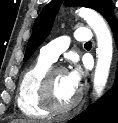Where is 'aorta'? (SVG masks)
Masks as SVG:
<instances>
[{
  "label": "aorta",
  "instance_id": "obj_1",
  "mask_svg": "<svg viewBox=\"0 0 118 123\" xmlns=\"http://www.w3.org/2000/svg\"><path fill=\"white\" fill-rule=\"evenodd\" d=\"M77 14L83 18L94 31L97 39V64L95 67L93 91L101 96L106 86L113 56V41L110 29L104 18L96 11L80 8Z\"/></svg>",
  "mask_w": 118,
  "mask_h": 123
}]
</instances>
